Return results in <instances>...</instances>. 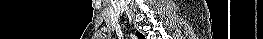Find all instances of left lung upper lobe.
<instances>
[{"label": "left lung upper lobe", "instance_id": "5c2ea615", "mask_svg": "<svg viewBox=\"0 0 263 39\" xmlns=\"http://www.w3.org/2000/svg\"><path fill=\"white\" fill-rule=\"evenodd\" d=\"M137 36L139 39H144V36L142 34H140L139 32H136Z\"/></svg>", "mask_w": 263, "mask_h": 39}]
</instances>
